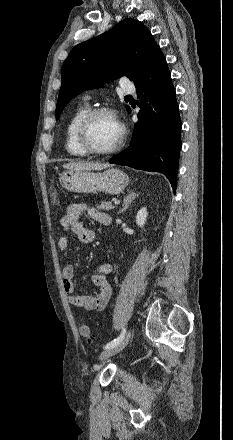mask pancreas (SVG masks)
I'll return each instance as SVG.
<instances>
[{"label": "pancreas", "mask_w": 233, "mask_h": 440, "mask_svg": "<svg viewBox=\"0 0 233 440\" xmlns=\"http://www.w3.org/2000/svg\"><path fill=\"white\" fill-rule=\"evenodd\" d=\"M96 208L98 210L102 211H110L111 209L115 208V206L112 205L111 202H101L100 204H96Z\"/></svg>", "instance_id": "1"}]
</instances>
